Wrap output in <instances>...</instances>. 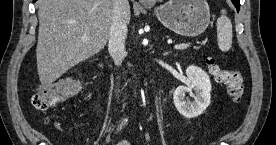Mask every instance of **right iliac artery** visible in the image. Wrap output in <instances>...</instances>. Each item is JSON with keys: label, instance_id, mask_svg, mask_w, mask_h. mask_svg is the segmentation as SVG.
Instances as JSON below:
<instances>
[{"label": "right iliac artery", "instance_id": "1", "mask_svg": "<svg viewBox=\"0 0 276 145\" xmlns=\"http://www.w3.org/2000/svg\"><path fill=\"white\" fill-rule=\"evenodd\" d=\"M126 122H127V119L124 120V123H126ZM122 125H123V124H122ZM122 125L120 126V128L122 127Z\"/></svg>", "mask_w": 276, "mask_h": 145}]
</instances>
